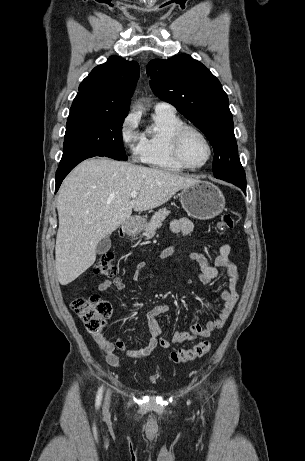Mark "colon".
Instances as JSON below:
<instances>
[{
    "label": "colon",
    "instance_id": "colon-1",
    "mask_svg": "<svg viewBox=\"0 0 305 461\" xmlns=\"http://www.w3.org/2000/svg\"><path fill=\"white\" fill-rule=\"evenodd\" d=\"M234 219L229 214H223L218 222L221 231L233 229ZM94 274L105 278H114L118 274V268L114 264V257L107 253L102 255L94 266ZM74 313L83 322L86 330L91 334H99L105 326V319L112 312L111 304L103 300L99 295L92 294L89 297H75L71 302ZM211 343L204 340L189 349H180L170 353L174 363H184L202 357L209 352Z\"/></svg>",
    "mask_w": 305,
    "mask_h": 461
}]
</instances>
